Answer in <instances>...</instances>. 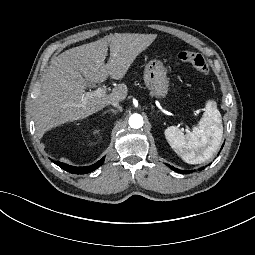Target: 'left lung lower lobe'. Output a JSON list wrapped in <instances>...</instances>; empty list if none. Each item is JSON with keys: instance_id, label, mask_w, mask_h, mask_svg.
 I'll use <instances>...</instances> for the list:
<instances>
[{"instance_id": "0a47b994", "label": "left lung lower lobe", "mask_w": 255, "mask_h": 255, "mask_svg": "<svg viewBox=\"0 0 255 255\" xmlns=\"http://www.w3.org/2000/svg\"><path fill=\"white\" fill-rule=\"evenodd\" d=\"M168 166H169V168H171L172 170H174L178 173L188 174V173L194 172V171L180 170V169L174 168L173 166H170L169 164H168ZM203 169H204V167H203ZM199 170H201V169H199Z\"/></svg>"}]
</instances>
